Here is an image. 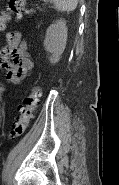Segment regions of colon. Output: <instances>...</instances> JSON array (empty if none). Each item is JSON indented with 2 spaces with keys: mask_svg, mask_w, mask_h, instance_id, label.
I'll return each instance as SVG.
<instances>
[{
  "mask_svg": "<svg viewBox=\"0 0 119 185\" xmlns=\"http://www.w3.org/2000/svg\"><path fill=\"white\" fill-rule=\"evenodd\" d=\"M33 14V10L26 7L24 0H9L6 11L0 17V29L6 28L8 22L13 18L20 19L22 14ZM41 89L39 86H33L29 94L24 98L19 108L13 127L10 132V138L17 139L25 132L30 124L33 114L38 107Z\"/></svg>",
  "mask_w": 119,
  "mask_h": 185,
  "instance_id": "5ec220e1",
  "label": "colon"
}]
</instances>
